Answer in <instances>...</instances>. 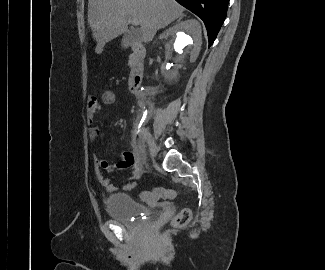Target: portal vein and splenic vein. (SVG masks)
<instances>
[{"label":"portal vein and splenic vein","instance_id":"portal-vein-and-splenic-vein-1","mask_svg":"<svg viewBox=\"0 0 325 270\" xmlns=\"http://www.w3.org/2000/svg\"><path fill=\"white\" fill-rule=\"evenodd\" d=\"M133 25H139V20L136 17H133L131 20H129Z\"/></svg>","mask_w":325,"mask_h":270}]
</instances>
